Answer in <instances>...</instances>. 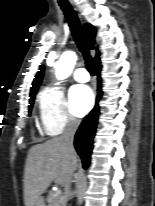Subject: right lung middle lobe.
<instances>
[{"mask_svg":"<svg viewBox=\"0 0 155 206\" xmlns=\"http://www.w3.org/2000/svg\"><path fill=\"white\" fill-rule=\"evenodd\" d=\"M30 97H31V98H30V101H29V103H30V105H29V111L31 112V109H32L33 103H34V97H35V95L30 96Z\"/></svg>","mask_w":155,"mask_h":206,"instance_id":"dd1d6c3e","label":"right lung middle lobe"}]
</instances>
